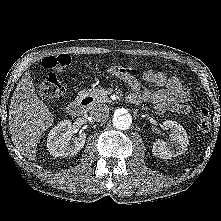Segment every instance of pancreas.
Instances as JSON below:
<instances>
[{"label":"pancreas","mask_w":221,"mask_h":221,"mask_svg":"<svg viewBox=\"0 0 221 221\" xmlns=\"http://www.w3.org/2000/svg\"><path fill=\"white\" fill-rule=\"evenodd\" d=\"M86 93L94 97L97 102L108 101V98H107L108 92L103 88H95V89L87 91Z\"/></svg>","instance_id":"cf45deb5"}]
</instances>
